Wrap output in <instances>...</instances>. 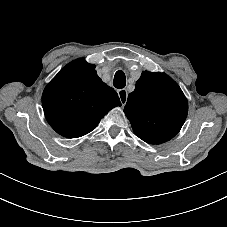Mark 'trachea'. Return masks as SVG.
I'll use <instances>...</instances> for the list:
<instances>
[{
  "mask_svg": "<svg viewBox=\"0 0 227 227\" xmlns=\"http://www.w3.org/2000/svg\"><path fill=\"white\" fill-rule=\"evenodd\" d=\"M113 85L117 89H122L126 86V76L123 71L119 70L115 73Z\"/></svg>",
  "mask_w": 227,
  "mask_h": 227,
  "instance_id": "1",
  "label": "trachea"
}]
</instances>
